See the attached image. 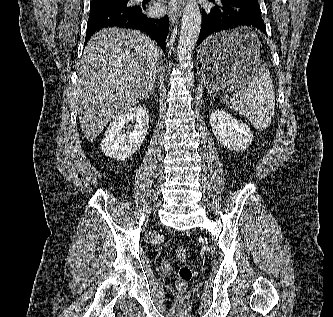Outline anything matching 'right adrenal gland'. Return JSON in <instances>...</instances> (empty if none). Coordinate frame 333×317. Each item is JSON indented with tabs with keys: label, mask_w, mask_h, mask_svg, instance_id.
Here are the masks:
<instances>
[{
	"label": "right adrenal gland",
	"mask_w": 333,
	"mask_h": 317,
	"mask_svg": "<svg viewBox=\"0 0 333 317\" xmlns=\"http://www.w3.org/2000/svg\"><path fill=\"white\" fill-rule=\"evenodd\" d=\"M155 85L152 87V90L150 91V93L148 94V96H150V95H155L156 97H157V95H156V93H155Z\"/></svg>",
	"instance_id": "2a0ac1e0"
}]
</instances>
